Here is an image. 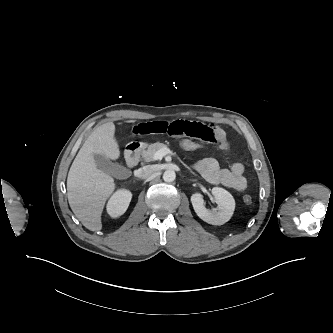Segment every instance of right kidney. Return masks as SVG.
I'll return each instance as SVG.
<instances>
[{"instance_id":"1","label":"right kidney","mask_w":333,"mask_h":333,"mask_svg":"<svg viewBox=\"0 0 333 333\" xmlns=\"http://www.w3.org/2000/svg\"><path fill=\"white\" fill-rule=\"evenodd\" d=\"M132 194L128 190H119L116 192L109 200L107 204V212L113 217H119L125 213L127 210L129 203L131 201Z\"/></svg>"}]
</instances>
